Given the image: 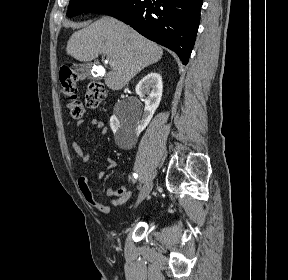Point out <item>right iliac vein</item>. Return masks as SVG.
Instances as JSON below:
<instances>
[{"mask_svg": "<svg viewBox=\"0 0 288 280\" xmlns=\"http://www.w3.org/2000/svg\"><path fill=\"white\" fill-rule=\"evenodd\" d=\"M152 187H153L152 181H147V182L142 186V188H141V190H140V192H139V195H138V198H137L135 207H137V206L149 195V193H150L151 190H152Z\"/></svg>", "mask_w": 288, "mask_h": 280, "instance_id": "obj_1", "label": "right iliac vein"}]
</instances>
